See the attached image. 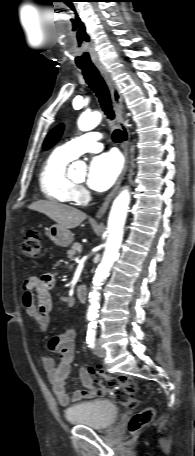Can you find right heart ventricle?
Here are the masks:
<instances>
[{
  "label": "right heart ventricle",
  "mask_w": 195,
  "mask_h": 456,
  "mask_svg": "<svg viewBox=\"0 0 195 456\" xmlns=\"http://www.w3.org/2000/svg\"><path fill=\"white\" fill-rule=\"evenodd\" d=\"M72 160L60 148L48 156L39 174L40 189L46 198L63 203L76 200V186L66 172Z\"/></svg>",
  "instance_id": "right-heart-ventricle-1"
}]
</instances>
